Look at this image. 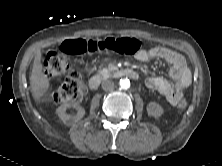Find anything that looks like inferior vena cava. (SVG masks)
<instances>
[{"instance_id": "1", "label": "inferior vena cava", "mask_w": 222, "mask_h": 166, "mask_svg": "<svg viewBox=\"0 0 222 166\" xmlns=\"http://www.w3.org/2000/svg\"><path fill=\"white\" fill-rule=\"evenodd\" d=\"M102 88L105 91H110V90L114 89V82L109 79L103 80Z\"/></svg>"}]
</instances>
